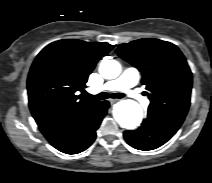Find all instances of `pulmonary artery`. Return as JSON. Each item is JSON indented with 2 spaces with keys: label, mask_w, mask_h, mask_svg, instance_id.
<instances>
[{
  "label": "pulmonary artery",
  "mask_w": 212,
  "mask_h": 183,
  "mask_svg": "<svg viewBox=\"0 0 212 183\" xmlns=\"http://www.w3.org/2000/svg\"><path fill=\"white\" fill-rule=\"evenodd\" d=\"M140 71L135 67H129L123 71V73L116 79L111 80L103 84L98 91L109 92V91H121L127 96L137 100L143 106L150 104L149 100L139 94L134 87L140 80Z\"/></svg>",
  "instance_id": "obj_1"
}]
</instances>
